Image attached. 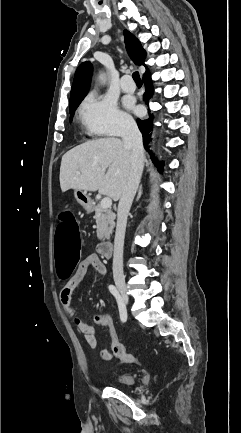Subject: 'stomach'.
Segmentation results:
<instances>
[{
	"label": "stomach",
	"mask_w": 241,
	"mask_h": 433,
	"mask_svg": "<svg viewBox=\"0 0 241 433\" xmlns=\"http://www.w3.org/2000/svg\"><path fill=\"white\" fill-rule=\"evenodd\" d=\"M75 199L77 202L88 212H90L93 208V202L90 198V194L87 191L83 190H75L74 192Z\"/></svg>",
	"instance_id": "obj_1"
}]
</instances>
